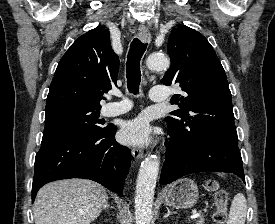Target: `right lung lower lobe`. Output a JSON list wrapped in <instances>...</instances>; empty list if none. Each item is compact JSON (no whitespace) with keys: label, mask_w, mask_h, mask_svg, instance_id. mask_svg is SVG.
I'll return each mask as SVG.
<instances>
[{"label":"right lung lower lobe","mask_w":275,"mask_h":224,"mask_svg":"<svg viewBox=\"0 0 275 224\" xmlns=\"http://www.w3.org/2000/svg\"><path fill=\"white\" fill-rule=\"evenodd\" d=\"M116 130L108 125L97 134L45 131L35 158L32 202L46 183L69 178L96 181L122 196L130 152L115 140Z\"/></svg>","instance_id":"1"}]
</instances>
